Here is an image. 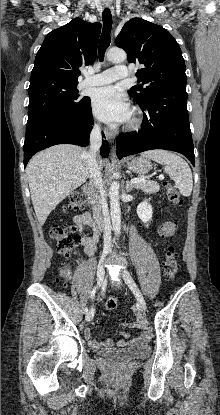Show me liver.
Returning a JSON list of instances; mask_svg holds the SVG:
<instances>
[{
	"instance_id": "obj_1",
	"label": "liver",
	"mask_w": 220,
	"mask_h": 415,
	"mask_svg": "<svg viewBox=\"0 0 220 415\" xmlns=\"http://www.w3.org/2000/svg\"><path fill=\"white\" fill-rule=\"evenodd\" d=\"M98 163L102 168L103 159ZM26 174L33 207L43 225L55 207L89 178L87 151L69 144L52 146L29 161Z\"/></svg>"
}]
</instances>
